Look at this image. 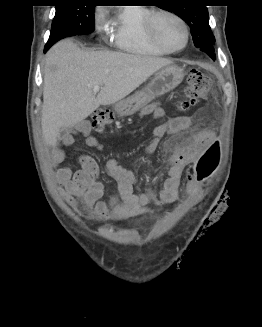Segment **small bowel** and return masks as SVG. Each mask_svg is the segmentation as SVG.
<instances>
[{
  "mask_svg": "<svg viewBox=\"0 0 262 327\" xmlns=\"http://www.w3.org/2000/svg\"><path fill=\"white\" fill-rule=\"evenodd\" d=\"M141 116L150 115L161 121L152 133L145 146L147 153H152L157 148L159 141L165 135H173L184 132L192 127V120L187 115L169 118L163 107L154 102L140 112ZM81 134L86 144L98 149L103 146L91 135V127L87 122H80L75 130L63 138V144L73 143L74 135ZM214 142V135L208 130H200L188 137L172 153L166 165V178L161 189L144 193H135L134 186L138 182L135 172L128 170L115 159L107 161L106 168L109 175L117 185L116 193L105 201L103 183L99 179V167L97 162L89 155L80 158V169L72 171L68 166H61L56 171V181L61 185L59 191L66 202L75 206L77 200L82 206L81 212L89 218L100 220L127 219L142 215L147 212L151 204H170L177 200L183 171H193V165L197 164L196 153H204L205 148ZM64 151L55 150L53 164L58 166L64 160ZM195 173L185 174V194L188 199H199L201 196L196 192Z\"/></svg>",
  "mask_w": 262,
  "mask_h": 327,
  "instance_id": "obj_1",
  "label": "small bowel"
}]
</instances>
